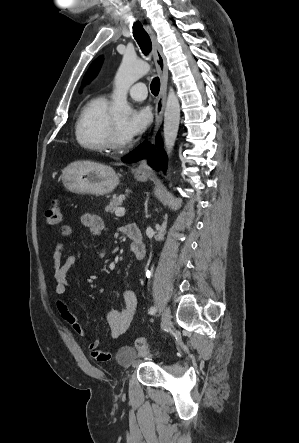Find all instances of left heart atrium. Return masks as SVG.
<instances>
[{
	"label": "left heart atrium",
	"mask_w": 299,
	"mask_h": 443,
	"mask_svg": "<svg viewBox=\"0 0 299 443\" xmlns=\"http://www.w3.org/2000/svg\"><path fill=\"white\" fill-rule=\"evenodd\" d=\"M152 114L148 107L141 106L132 110L126 119L122 131L127 139H132L142 134L150 125Z\"/></svg>",
	"instance_id": "obj_1"
}]
</instances>
